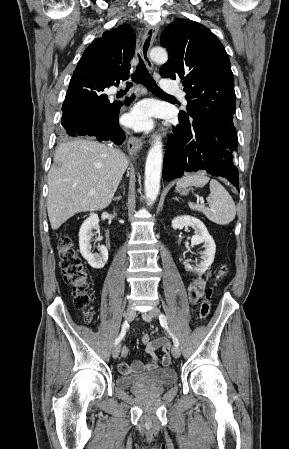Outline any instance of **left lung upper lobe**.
Returning <instances> with one entry per match:
<instances>
[{"label":"left lung upper lobe","instance_id":"1","mask_svg":"<svg viewBox=\"0 0 289 449\" xmlns=\"http://www.w3.org/2000/svg\"><path fill=\"white\" fill-rule=\"evenodd\" d=\"M160 44L169 53L160 75L181 78L188 100V113L181 112L178 118L206 119L235 129L234 76L218 38L197 22L177 19L164 29Z\"/></svg>","mask_w":289,"mask_h":449}]
</instances>
